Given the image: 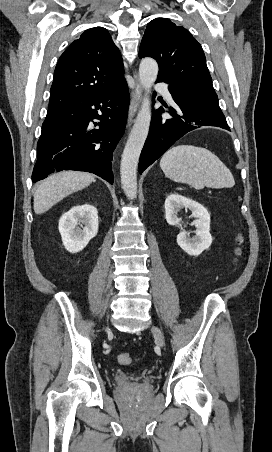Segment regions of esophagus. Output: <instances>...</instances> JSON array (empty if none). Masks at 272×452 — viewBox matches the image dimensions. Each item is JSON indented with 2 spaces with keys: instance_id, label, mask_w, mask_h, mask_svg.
<instances>
[{
  "instance_id": "1",
  "label": "esophagus",
  "mask_w": 272,
  "mask_h": 452,
  "mask_svg": "<svg viewBox=\"0 0 272 452\" xmlns=\"http://www.w3.org/2000/svg\"><path fill=\"white\" fill-rule=\"evenodd\" d=\"M141 94H142V88L138 81L137 76L135 75V87L131 93V103H130V107H129L128 125H131L133 118L137 112Z\"/></svg>"
}]
</instances>
